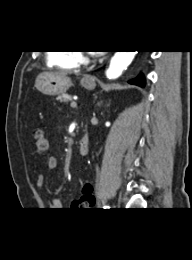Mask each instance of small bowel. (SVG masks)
I'll use <instances>...</instances> for the list:
<instances>
[{"label": "small bowel", "instance_id": "1", "mask_svg": "<svg viewBox=\"0 0 192 260\" xmlns=\"http://www.w3.org/2000/svg\"><path fill=\"white\" fill-rule=\"evenodd\" d=\"M46 165L49 171H54L57 169L58 163L54 157H50L47 159ZM44 182H45V175L43 173H40L37 177V186L41 187L44 184ZM45 203L52 210H60L63 208V203L58 198H52L50 200H46ZM94 203H95L94 197H85V198H79L74 202L73 205L76 208L87 209L93 207Z\"/></svg>", "mask_w": 192, "mask_h": 260}]
</instances>
